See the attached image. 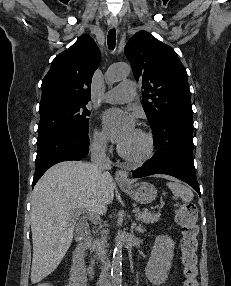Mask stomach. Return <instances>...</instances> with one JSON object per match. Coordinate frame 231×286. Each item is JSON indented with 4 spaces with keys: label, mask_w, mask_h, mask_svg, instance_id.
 <instances>
[{
    "label": "stomach",
    "mask_w": 231,
    "mask_h": 286,
    "mask_svg": "<svg viewBox=\"0 0 231 286\" xmlns=\"http://www.w3.org/2000/svg\"><path fill=\"white\" fill-rule=\"evenodd\" d=\"M120 188L140 204L151 203L157 197V189L148 182L132 183L129 186L120 185Z\"/></svg>",
    "instance_id": "stomach-1"
}]
</instances>
